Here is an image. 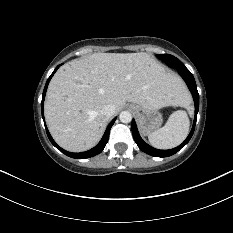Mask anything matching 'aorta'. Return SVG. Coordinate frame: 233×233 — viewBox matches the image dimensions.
I'll use <instances>...</instances> for the list:
<instances>
[{"instance_id":"1","label":"aorta","mask_w":233,"mask_h":233,"mask_svg":"<svg viewBox=\"0 0 233 233\" xmlns=\"http://www.w3.org/2000/svg\"><path fill=\"white\" fill-rule=\"evenodd\" d=\"M119 119L122 123H130L132 120V115L129 111H122L119 115Z\"/></svg>"}]
</instances>
